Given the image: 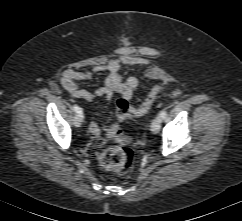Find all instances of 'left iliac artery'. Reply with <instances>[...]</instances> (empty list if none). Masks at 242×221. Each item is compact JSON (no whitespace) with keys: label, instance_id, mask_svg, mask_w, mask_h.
Here are the masks:
<instances>
[{"label":"left iliac artery","instance_id":"44dca946","mask_svg":"<svg viewBox=\"0 0 242 221\" xmlns=\"http://www.w3.org/2000/svg\"><path fill=\"white\" fill-rule=\"evenodd\" d=\"M167 115V111L166 110H162L159 114V118L160 120H163Z\"/></svg>","mask_w":242,"mask_h":221}]
</instances>
